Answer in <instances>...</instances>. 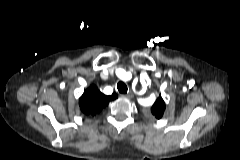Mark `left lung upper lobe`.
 Listing matches in <instances>:
<instances>
[{
    "label": "left lung upper lobe",
    "instance_id": "1",
    "mask_svg": "<svg viewBox=\"0 0 240 160\" xmlns=\"http://www.w3.org/2000/svg\"><path fill=\"white\" fill-rule=\"evenodd\" d=\"M165 110V103L161 96L156 100L154 105L151 108L152 114L157 118L160 119L163 116Z\"/></svg>",
    "mask_w": 240,
    "mask_h": 160
}]
</instances>
